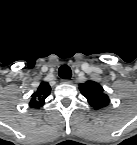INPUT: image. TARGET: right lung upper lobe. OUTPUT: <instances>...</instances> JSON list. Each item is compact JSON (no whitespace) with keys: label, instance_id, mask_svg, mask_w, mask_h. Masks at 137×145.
<instances>
[{"label":"right lung upper lobe","instance_id":"1","mask_svg":"<svg viewBox=\"0 0 137 145\" xmlns=\"http://www.w3.org/2000/svg\"><path fill=\"white\" fill-rule=\"evenodd\" d=\"M51 87L47 82H41L36 92L32 94L29 106L32 108H40L44 105L45 99L49 96Z\"/></svg>","mask_w":137,"mask_h":145}]
</instances>
